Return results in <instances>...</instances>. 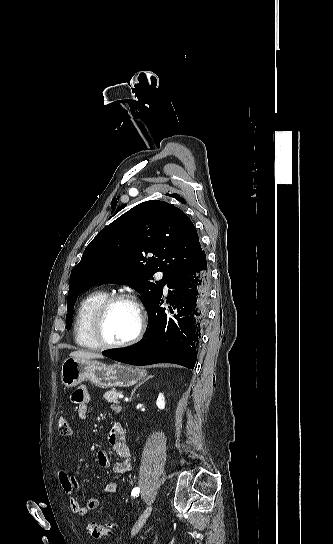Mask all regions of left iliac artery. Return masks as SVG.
<instances>
[{
	"mask_svg": "<svg viewBox=\"0 0 333 544\" xmlns=\"http://www.w3.org/2000/svg\"><path fill=\"white\" fill-rule=\"evenodd\" d=\"M139 493H140V489L138 487H136V488H134L132 490L131 496L132 497H137L139 495Z\"/></svg>",
	"mask_w": 333,
	"mask_h": 544,
	"instance_id": "1",
	"label": "left iliac artery"
}]
</instances>
